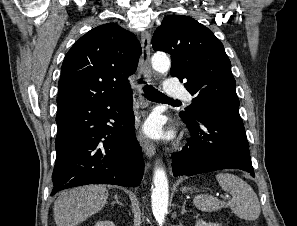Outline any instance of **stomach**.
<instances>
[{"label": "stomach", "instance_id": "1", "mask_svg": "<svg viewBox=\"0 0 297 226\" xmlns=\"http://www.w3.org/2000/svg\"><path fill=\"white\" fill-rule=\"evenodd\" d=\"M191 191L192 189L191 188H186V187H184V188H182V191Z\"/></svg>", "mask_w": 297, "mask_h": 226}]
</instances>
